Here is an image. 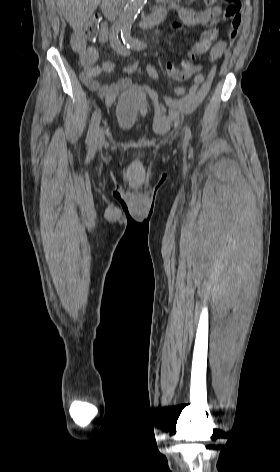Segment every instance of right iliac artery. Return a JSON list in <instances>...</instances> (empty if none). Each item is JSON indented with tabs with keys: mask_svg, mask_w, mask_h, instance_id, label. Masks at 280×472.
Instances as JSON below:
<instances>
[{
	"mask_svg": "<svg viewBox=\"0 0 280 472\" xmlns=\"http://www.w3.org/2000/svg\"><path fill=\"white\" fill-rule=\"evenodd\" d=\"M122 26L121 25H114L112 26L111 30H110V44L112 46V48L118 53V54H121V55H124V56H127L130 54L129 52V47L128 46H123L121 44V42L119 41L118 39V34L119 32L122 30ZM100 120H101V112L100 110H96L92 117H91V122H90V126H89V130H88V134H87V137H86V143L91 147L93 148L94 147V144L96 142V136H97V132H98V129H99V124H100Z\"/></svg>",
	"mask_w": 280,
	"mask_h": 472,
	"instance_id": "obj_1",
	"label": "right iliac artery"
}]
</instances>
